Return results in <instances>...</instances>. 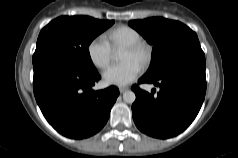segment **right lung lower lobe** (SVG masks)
I'll list each match as a JSON object with an SVG mask.
<instances>
[{
    "mask_svg": "<svg viewBox=\"0 0 238 158\" xmlns=\"http://www.w3.org/2000/svg\"><path fill=\"white\" fill-rule=\"evenodd\" d=\"M33 70L36 101L55 130L82 139L104 127L119 90L115 86L92 90L101 78L97 70L85 72L50 55L33 60Z\"/></svg>",
    "mask_w": 238,
    "mask_h": 158,
    "instance_id": "obj_1",
    "label": "right lung lower lobe"
}]
</instances>
